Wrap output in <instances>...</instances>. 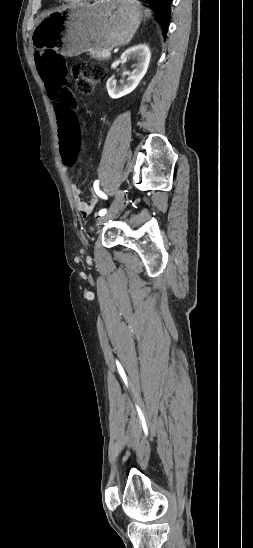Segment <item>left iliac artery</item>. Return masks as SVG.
Listing matches in <instances>:
<instances>
[{
  "mask_svg": "<svg viewBox=\"0 0 253 548\" xmlns=\"http://www.w3.org/2000/svg\"><path fill=\"white\" fill-rule=\"evenodd\" d=\"M98 185H99V180H96V181L94 182V188H96L97 194H98L101 198L107 199V196H106L103 192H101V191L99 190ZM106 212H107V209H106V208L101 209V210L99 211L98 215H99V216H103V215L106 214Z\"/></svg>",
  "mask_w": 253,
  "mask_h": 548,
  "instance_id": "obj_1",
  "label": "left iliac artery"
}]
</instances>
